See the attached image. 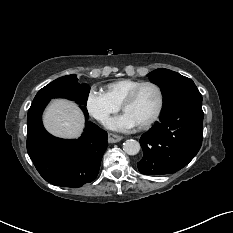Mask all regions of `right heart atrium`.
<instances>
[{
  "instance_id": "obj_1",
  "label": "right heart atrium",
  "mask_w": 233,
  "mask_h": 233,
  "mask_svg": "<svg viewBox=\"0 0 233 233\" xmlns=\"http://www.w3.org/2000/svg\"><path fill=\"white\" fill-rule=\"evenodd\" d=\"M86 108L92 117L104 123L119 111L120 105L113 102L105 92L91 87L86 96Z\"/></svg>"
}]
</instances>
